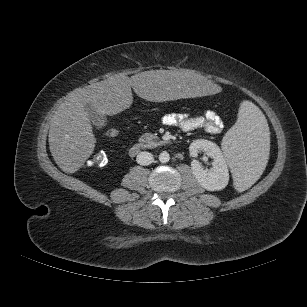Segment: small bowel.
<instances>
[{"label": "small bowel", "instance_id": "obj_1", "mask_svg": "<svg viewBox=\"0 0 307 307\" xmlns=\"http://www.w3.org/2000/svg\"><path fill=\"white\" fill-rule=\"evenodd\" d=\"M165 126L177 127L182 131L205 129L211 134H218L224 128L222 118L214 111L207 110L202 116L191 117L183 113H168L162 116Z\"/></svg>", "mask_w": 307, "mask_h": 307}]
</instances>
